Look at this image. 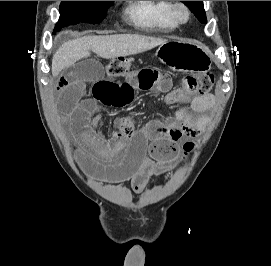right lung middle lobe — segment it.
<instances>
[{"label": "right lung middle lobe", "instance_id": "1", "mask_svg": "<svg viewBox=\"0 0 271 266\" xmlns=\"http://www.w3.org/2000/svg\"><path fill=\"white\" fill-rule=\"evenodd\" d=\"M114 1H62L60 18L54 32L61 28L80 22L99 23L106 15Z\"/></svg>", "mask_w": 271, "mask_h": 266}]
</instances>
